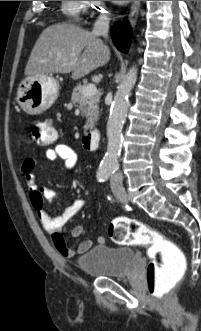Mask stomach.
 <instances>
[{
  "label": "stomach",
  "instance_id": "obj_1",
  "mask_svg": "<svg viewBox=\"0 0 201 331\" xmlns=\"http://www.w3.org/2000/svg\"><path fill=\"white\" fill-rule=\"evenodd\" d=\"M59 95V84L51 75L27 76L19 85L17 102L29 115L49 109Z\"/></svg>",
  "mask_w": 201,
  "mask_h": 331
}]
</instances>
